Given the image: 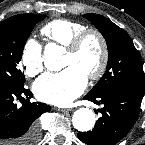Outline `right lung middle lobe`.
Segmentation results:
<instances>
[{"instance_id":"dd1d6c3e","label":"right lung middle lobe","mask_w":145,"mask_h":145,"mask_svg":"<svg viewBox=\"0 0 145 145\" xmlns=\"http://www.w3.org/2000/svg\"><path fill=\"white\" fill-rule=\"evenodd\" d=\"M45 15L23 14L0 23V84L21 88L25 77L20 60L26 40Z\"/></svg>"}]
</instances>
